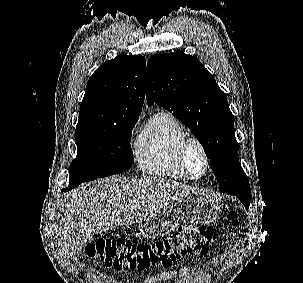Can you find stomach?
I'll return each instance as SVG.
<instances>
[{
	"instance_id": "1",
	"label": "stomach",
	"mask_w": 303,
	"mask_h": 283,
	"mask_svg": "<svg viewBox=\"0 0 303 283\" xmlns=\"http://www.w3.org/2000/svg\"><path fill=\"white\" fill-rule=\"evenodd\" d=\"M221 210L219 200L204 192L190 193L178 197L152 215L138 223L140 234L157 239L173 231L180 222L187 224H209Z\"/></svg>"
}]
</instances>
